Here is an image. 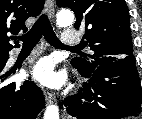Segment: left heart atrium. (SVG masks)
Listing matches in <instances>:
<instances>
[{"instance_id": "1", "label": "left heart atrium", "mask_w": 142, "mask_h": 119, "mask_svg": "<svg viewBox=\"0 0 142 119\" xmlns=\"http://www.w3.org/2000/svg\"><path fill=\"white\" fill-rule=\"evenodd\" d=\"M34 78L43 85L56 87L62 82V76L54 72L53 63L43 59L37 63L33 70Z\"/></svg>"}]
</instances>
